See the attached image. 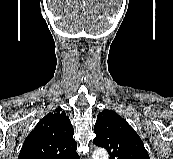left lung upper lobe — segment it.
<instances>
[{"instance_id": "obj_1", "label": "left lung upper lobe", "mask_w": 173, "mask_h": 159, "mask_svg": "<svg viewBox=\"0 0 173 159\" xmlns=\"http://www.w3.org/2000/svg\"><path fill=\"white\" fill-rule=\"evenodd\" d=\"M93 144L104 147L109 159H150L144 144L134 129L112 110H103L94 126Z\"/></svg>"}]
</instances>
